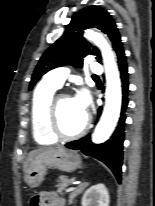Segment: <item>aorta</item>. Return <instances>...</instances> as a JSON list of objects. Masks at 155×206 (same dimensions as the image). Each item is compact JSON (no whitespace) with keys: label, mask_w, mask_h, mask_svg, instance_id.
Masks as SVG:
<instances>
[{"label":"aorta","mask_w":155,"mask_h":206,"mask_svg":"<svg viewBox=\"0 0 155 206\" xmlns=\"http://www.w3.org/2000/svg\"><path fill=\"white\" fill-rule=\"evenodd\" d=\"M85 37L102 51L106 71L105 107L92 137V141L99 144L109 139L118 122L121 110V83L114 53L107 41L101 34L91 30L86 32Z\"/></svg>","instance_id":"762f6f07"}]
</instances>
